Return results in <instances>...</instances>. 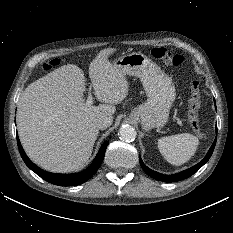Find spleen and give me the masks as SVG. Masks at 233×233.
<instances>
[{"instance_id": "3e777b00", "label": "spleen", "mask_w": 233, "mask_h": 233, "mask_svg": "<svg viewBox=\"0 0 233 233\" xmlns=\"http://www.w3.org/2000/svg\"><path fill=\"white\" fill-rule=\"evenodd\" d=\"M199 145L196 136L183 133L158 139V149L162 156L171 164L180 166L195 154Z\"/></svg>"}]
</instances>
